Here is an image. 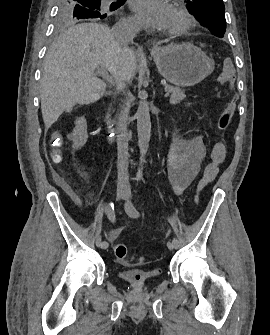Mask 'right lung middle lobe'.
Wrapping results in <instances>:
<instances>
[{
    "label": "right lung middle lobe",
    "mask_w": 270,
    "mask_h": 335,
    "mask_svg": "<svg viewBox=\"0 0 270 335\" xmlns=\"http://www.w3.org/2000/svg\"><path fill=\"white\" fill-rule=\"evenodd\" d=\"M125 0L101 5V0H60L58 3L57 24L64 27L78 24L88 19L104 21L110 17V11H114L124 4Z\"/></svg>",
    "instance_id": "dd1d6c3e"
}]
</instances>
